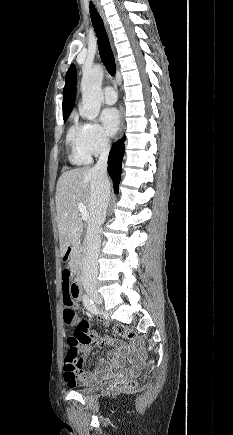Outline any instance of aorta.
<instances>
[{"mask_svg":"<svg viewBox=\"0 0 233 435\" xmlns=\"http://www.w3.org/2000/svg\"><path fill=\"white\" fill-rule=\"evenodd\" d=\"M103 76V68L99 65L83 70L81 80L82 104L79 107V113L83 118L95 120L99 115L103 102L101 91Z\"/></svg>","mask_w":233,"mask_h":435,"instance_id":"1","label":"aorta"}]
</instances>
